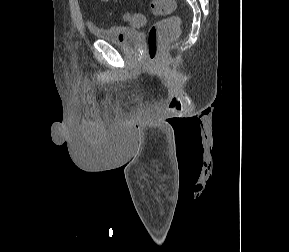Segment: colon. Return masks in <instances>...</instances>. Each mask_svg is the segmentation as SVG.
Masks as SVG:
<instances>
[{"label":"colon","mask_w":289,"mask_h":252,"mask_svg":"<svg viewBox=\"0 0 289 252\" xmlns=\"http://www.w3.org/2000/svg\"><path fill=\"white\" fill-rule=\"evenodd\" d=\"M174 0H152L150 9L159 15H170L175 11ZM128 24L140 26L144 18L137 13H130L125 16ZM180 21L176 17H169L155 22L148 30L146 37L147 56L153 64H157L165 45L174 40L179 34Z\"/></svg>","instance_id":"5ec220e1"}]
</instances>
